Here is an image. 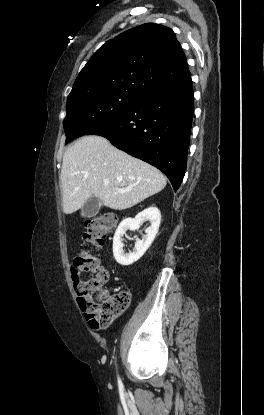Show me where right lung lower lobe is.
<instances>
[{
    "instance_id": "right-lung-lower-lobe-1",
    "label": "right lung lower lobe",
    "mask_w": 264,
    "mask_h": 415,
    "mask_svg": "<svg viewBox=\"0 0 264 415\" xmlns=\"http://www.w3.org/2000/svg\"><path fill=\"white\" fill-rule=\"evenodd\" d=\"M193 113L189 76L145 94L124 114L87 135L103 136L118 149L157 167L177 190L186 172Z\"/></svg>"
}]
</instances>
